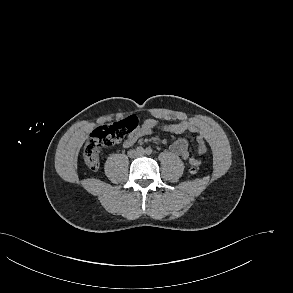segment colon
<instances>
[{
	"instance_id": "colon-1",
	"label": "colon",
	"mask_w": 293,
	"mask_h": 293,
	"mask_svg": "<svg viewBox=\"0 0 293 293\" xmlns=\"http://www.w3.org/2000/svg\"><path fill=\"white\" fill-rule=\"evenodd\" d=\"M136 126V119L129 117L119 123L96 128L83 149V158L86 166L91 170H96L99 167V153L101 149L118 143L126 134L132 132ZM190 172L197 174L199 172V163L193 164Z\"/></svg>"
}]
</instances>
